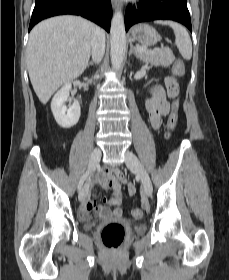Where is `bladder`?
I'll list each match as a JSON object with an SVG mask.
<instances>
[{"label": "bladder", "mask_w": 229, "mask_h": 280, "mask_svg": "<svg viewBox=\"0 0 229 280\" xmlns=\"http://www.w3.org/2000/svg\"><path fill=\"white\" fill-rule=\"evenodd\" d=\"M84 226H85L86 230L90 231V230H92L96 226V224H95V222L93 220L88 219V220L85 221ZM131 229L135 233H143L146 230V226L144 224H142V223L141 224L134 223L132 225Z\"/></svg>", "instance_id": "31cf9c89"}]
</instances>
